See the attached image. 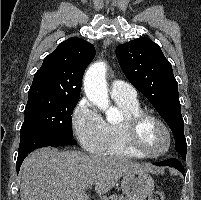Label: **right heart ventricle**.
Masks as SVG:
<instances>
[{
    "label": "right heart ventricle",
    "mask_w": 201,
    "mask_h": 200,
    "mask_svg": "<svg viewBox=\"0 0 201 200\" xmlns=\"http://www.w3.org/2000/svg\"><path fill=\"white\" fill-rule=\"evenodd\" d=\"M113 100L123 113V119L126 116L142 111L137 99L113 98ZM123 119L105 122L104 145L99 153L127 158H140V156L134 153L125 143L122 126Z\"/></svg>",
    "instance_id": "obj_1"
}]
</instances>
